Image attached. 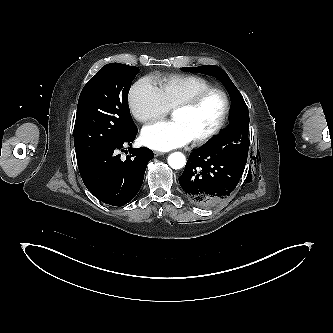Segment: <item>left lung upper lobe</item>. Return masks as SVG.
I'll use <instances>...</instances> for the list:
<instances>
[{"mask_svg": "<svg viewBox=\"0 0 333 333\" xmlns=\"http://www.w3.org/2000/svg\"><path fill=\"white\" fill-rule=\"evenodd\" d=\"M181 70L212 75L225 85L231 98L230 126L228 130H222L220 135L210 142L207 147L246 165L250 144L248 139L249 114L248 108L238 89L226 72L218 66L203 65L195 68L183 67Z\"/></svg>", "mask_w": 333, "mask_h": 333, "instance_id": "5c2ea615", "label": "left lung upper lobe"}]
</instances>
